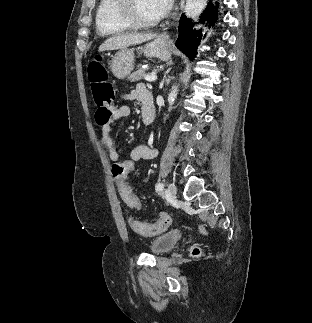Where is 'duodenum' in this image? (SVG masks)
Segmentation results:
<instances>
[{
  "label": "duodenum",
  "instance_id": "410a0bca",
  "mask_svg": "<svg viewBox=\"0 0 312 323\" xmlns=\"http://www.w3.org/2000/svg\"><path fill=\"white\" fill-rule=\"evenodd\" d=\"M155 116V106L150 92H146L142 99L141 122L143 125L150 124Z\"/></svg>",
  "mask_w": 312,
  "mask_h": 323
}]
</instances>
